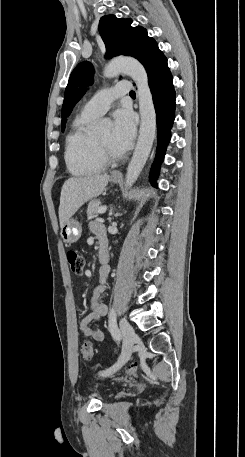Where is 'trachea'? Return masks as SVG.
<instances>
[{
	"label": "trachea",
	"instance_id": "1",
	"mask_svg": "<svg viewBox=\"0 0 245 457\" xmlns=\"http://www.w3.org/2000/svg\"><path fill=\"white\" fill-rule=\"evenodd\" d=\"M130 95H135V92L131 90Z\"/></svg>",
	"mask_w": 245,
	"mask_h": 457
}]
</instances>
